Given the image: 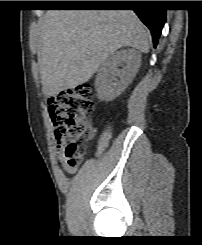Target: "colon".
I'll return each mask as SVG.
<instances>
[{
	"mask_svg": "<svg viewBox=\"0 0 202 245\" xmlns=\"http://www.w3.org/2000/svg\"><path fill=\"white\" fill-rule=\"evenodd\" d=\"M93 97V89L89 85H81L60 92L55 100V136L57 141L66 142L63 155L71 167L81 161L91 136Z\"/></svg>",
	"mask_w": 202,
	"mask_h": 245,
	"instance_id": "obj_1",
	"label": "colon"
}]
</instances>
